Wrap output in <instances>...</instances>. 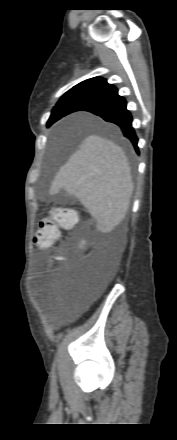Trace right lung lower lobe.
<instances>
[{"instance_id":"obj_1","label":"right lung lower lobe","mask_w":177,"mask_h":440,"mask_svg":"<svg viewBox=\"0 0 177 440\" xmlns=\"http://www.w3.org/2000/svg\"><path fill=\"white\" fill-rule=\"evenodd\" d=\"M81 111H88L100 116L107 122H111L120 127L123 135L127 137L139 153L137 142L138 138L132 127V116L126 108V101L123 97L115 93L107 98L93 102Z\"/></svg>"}]
</instances>
